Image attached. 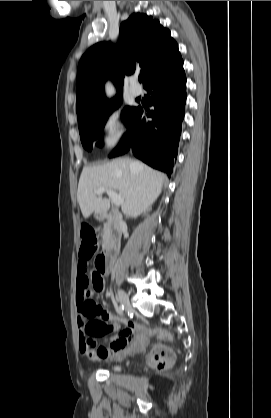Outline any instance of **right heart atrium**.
Instances as JSON below:
<instances>
[{
    "mask_svg": "<svg viewBox=\"0 0 271 418\" xmlns=\"http://www.w3.org/2000/svg\"><path fill=\"white\" fill-rule=\"evenodd\" d=\"M128 132V125L121 109L108 110L100 123L101 141L107 148L120 145Z\"/></svg>",
    "mask_w": 271,
    "mask_h": 418,
    "instance_id": "right-heart-atrium-1",
    "label": "right heart atrium"
}]
</instances>
